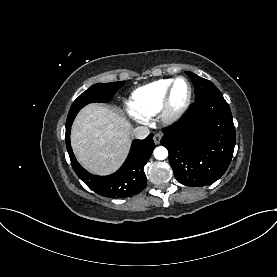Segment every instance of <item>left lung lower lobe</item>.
Returning <instances> with one entry per match:
<instances>
[{
  "instance_id": "obj_1",
  "label": "left lung lower lobe",
  "mask_w": 277,
  "mask_h": 277,
  "mask_svg": "<svg viewBox=\"0 0 277 277\" xmlns=\"http://www.w3.org/2000/svg\"><path fill=\"white\" fill-rule=\"evenodd\" d=\"M175 178L200 187L218 180L231 162L236 142L228 103L222 94L195 101L183 119L163 130Z\"/></svg>"
}]
</instances>
